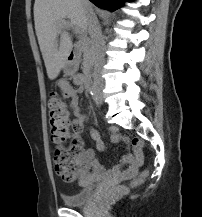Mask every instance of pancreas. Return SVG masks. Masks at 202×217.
<instances>
[{
  "mask_svg": "<svg viewBox=\"0 0 202 217\" xmlns=\"http://www.w3.org/2000/svg\"><path fill=\"white\" fill-rule=\"evenodd\" d=\"M79 47L83 53V66H89L92 59L93 51L90 39L87 37V35H83L80 38Z\"/></svg>",
  "mask_w": 202,
  "mask_h": 217,
  "instance_id": "obj_1",
  "label": "pancreas"
}]
</instances>
